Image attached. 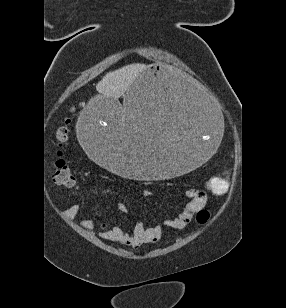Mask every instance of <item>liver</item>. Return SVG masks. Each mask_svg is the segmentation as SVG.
Instances as JSON below:
<instances>
[{
	"instance_id": "obj_1",
	"label": "liver",
	"mask_w": 286,
	"mask_h": 308,
	"mask_svg": "<svg viewBox=\"0 0 286 308\" xmlns=\"http://www.w3.org/2000/svg\"><path fill=\"white\" fill-rule=\"evenodd\" d=\"M145 68L144 64H131L108 72L97 84L96 89L105 99L117 102L118 98L124 96L134 80ZM119 121L122 125H125V110L120 116Z\"/></svg>"
}]
</instances>
